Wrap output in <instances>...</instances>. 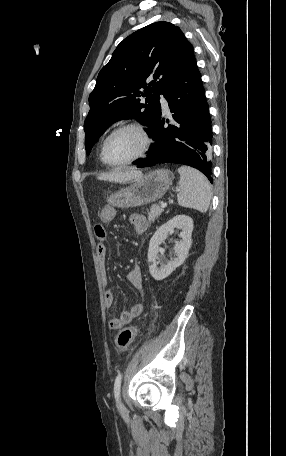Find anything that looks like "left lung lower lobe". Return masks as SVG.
I'll return each instance as SVG.
<instances>
[{
	"mask_svg": "<svg viewBox=\"0 0 286 456\" xmlns=\"http://www.w3.org/2000/svg\"><path fill=\"white\" fill-rule=\"evenodd\" d=\"M165 98L175 123L164 127L165 119L160 115L149 134L155 144L148 157L135 164L139 168L157 163L185 164L200 170L213 183L211 120L195 59L171 84Z\"/></svg>",
	"mask_w": 286,
	"mask_h": 456,
	"instance_id": "0a47b994",
	"label": "left lung lower lobe"
}]
</instances>
